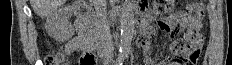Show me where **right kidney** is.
<instances>
[{
	"label": "right kidney",
	"instance_id": "1",
	"mask_svg": "<svg viewBox=\"0 0 232 65\" xmlns=\"http://www.w3.org/2000/svg\"><path fill=\"white\" fill-rule=\"evenodd\" d=\"M72 16L71 7H62L51 13L45 23V29L57 41H67L74 35V27L69 23Z\"/></svg>",
	"mask_w": 232,
	"mask_h": 65
}]
</instances>
